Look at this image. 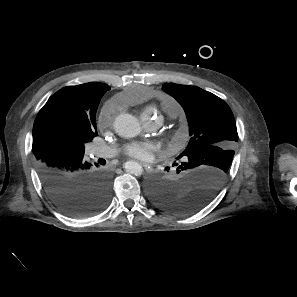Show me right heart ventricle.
<instances>
[{"label": "right heart ventricle", "instance_id": "e07e8e85", "mask_svg": "<svg viewBox=\"0 0 297 297\" xmlns=\"http://www.w3.org/2000/svg\"><path fill=\"white\" fill-rule=\"evenodd\" d=\"M160 107L167 111V112H172L173 111V107L174 105L168 101V100H162L160 102ZM152 115V108H146L143 112H142V117L144 119H147L148 117H150Z\"/></svg>", "mask_w": 297, "mask_h": 297}]
</instances>
